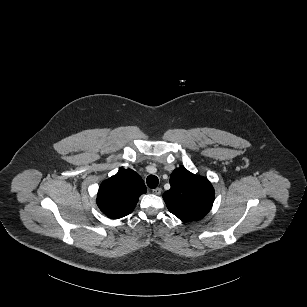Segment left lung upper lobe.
<instances>
[{
	"instance_id": "5c2ea615",
	"label": "left lung upper lobe",
	"mask_w": 307,
	"mask_h": 307,
	"mask_svg": "<svg viewBox=\"0 0 307 307\" xmlns=\"http://www.w3.org/2000/svg\"><path fill=\"white\" fill-rule=\"evenodd\" d=\"M170 185L171 188L163 194V199L168 210L180 220H199L210 211L214 189L205 177L179 167L171 174Z\"/></svg>"
}]
</instances>
